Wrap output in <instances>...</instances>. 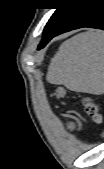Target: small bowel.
<instances>
[{"label": "small bowel", "mask_w": 104, "mask_h": 169, "mask_svg": "<svg viewBox=\"0 0 104 169\" xmlns=\"http://www.w3.org/2000/svg\"><path fill=\"white\" fill-rule=\"evenodd\" d=\"M72 129H73V130L76 129V125H72Z\"/></svg>", "instance_id": "small-bowel-1"}]
</instances>
